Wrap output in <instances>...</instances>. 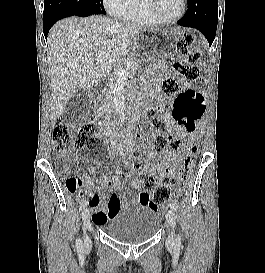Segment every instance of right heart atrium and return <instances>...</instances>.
<instances>
[{"label":"right heart atrium","mask_w":265,"mask_h":273,"mask_svg":"<svg viewBox=\"0 0 265 273\" xmlns=\"http://www.w3.org/2000/svg\"><path fill=\"white\" fill-rule=\"evenodd\" d=\"M127 3L128 0H103L105 9L114 16H118Z\"/></svg>","instance_id":"d8ad5b80"}]
</instances>
